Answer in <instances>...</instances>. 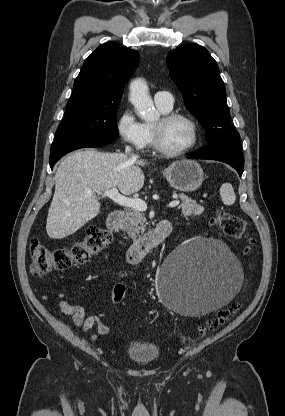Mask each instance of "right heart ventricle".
I'll return each mask as SVG.
<instances>
[{
  "label": "right heart ventricle",
  "instance_id": "obj_1",
  "mask_svg": "<svg viewBox=\"0 0 285 416\" xmlns=\"http://www.w3.org/2000/svg\"><path fill=\"white\" fill-rule=\"evenodd\" d=\"M158 106H159V105H158ZM159 109H160L162 112H167V111H169V110H170V109L164 108V107H162V106H159ZM144 126H145L146 131H147V134H148V138H149V145L151 146V145L153 144V136H152V129H151V125H150V124H144Z\"/></svg>",
  "mask_w": 285,
  "mask_h": 416
}]
</instances>
